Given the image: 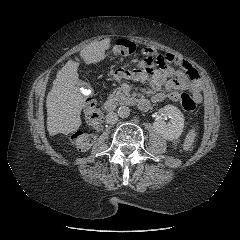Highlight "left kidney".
<instances>
[{"instance_id": "obj_1", "label": "left kidney", "mask_w": 240, "mask_h": 240, "mask_svg": "<svg viewBox=\"0 0 240 240\" xmlns=\"http://www.w3.org/2000/svg\"><path fill=\"white\" fill-rule=\"evenodd\" d=\"M160 113L170 118V123L157 116L153 123L154 129L167 140L179 138L184 128V116L181 111L176 106L166 105L160 109Z\"/></svg>"}]
</instances>
